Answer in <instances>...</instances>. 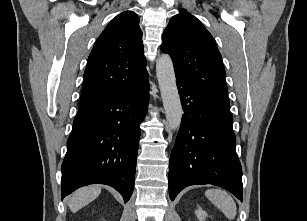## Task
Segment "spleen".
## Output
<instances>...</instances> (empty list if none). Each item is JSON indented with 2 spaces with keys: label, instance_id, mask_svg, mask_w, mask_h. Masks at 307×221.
<instances>
[{
  "label": "spleen",
  "instance_id": "3e777b00",
  "mask_svg": "<svg viewBox=\"0 0 307 221\" xmlns=\"http://www.w3.org/2000/svg\"><path fill=\"white\" fill-rule=\"evenodd\" d=\"M205 195L229 220H233L236 217V204L226 191L209 189L206 190Z\"/></svg>",
  "mask_w": 307,
  "mask_h": 221
}]
</instances>
